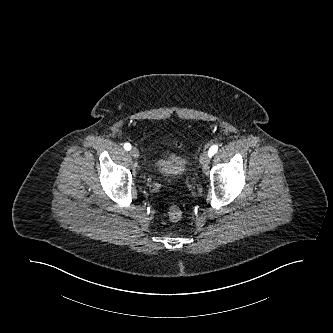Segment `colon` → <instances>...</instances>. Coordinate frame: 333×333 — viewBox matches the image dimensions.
I'll return each instance as SVG.
<instances>
[{"instance_id": "1", "label": "colon", "mask_w": 333, "mask_h": 333, "mask_svg": "<svg viewBox=\"0 0 333 333\" xmlns=\"http://www.w3.org/2000/svg\"><path fill=\"white\" fill-rule=\"evenodd\" d=\"M168 217L171 221H179L182 216H183V212L182 210L178 207V206H175V205H172L168 208Z\"/></svg>"}]
</instances>
